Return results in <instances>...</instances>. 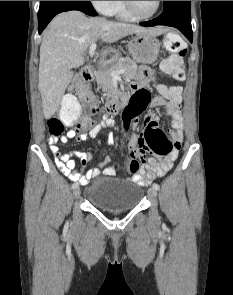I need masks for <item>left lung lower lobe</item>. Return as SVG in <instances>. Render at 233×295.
I'll list each match as a JSON object with an SVG mask.
<instances>
[{"label": "left lung lower lobe", "mask_w": 233, "mask_h": 295, "mask_svg": "<svg viewBox=\"0 0 233 295\" xmlns=\"http://www.w3.org/2000/svg\"><path fill=\"white\" fill-rule=\"evenodd\" d=\"M190 1H176L164 9L162 15L148 22H142V26L167 25L178 28L189 40H193L191 27Z\"/></svg>", "instance_id": "left-lung-lower-lobe-1"}]
</instances>
